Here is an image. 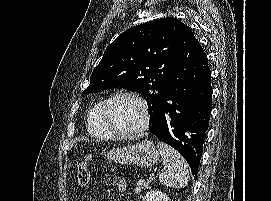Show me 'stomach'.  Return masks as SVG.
<instances>
[{
	"label": "stomach",
	"mask_w": 271,
	"mask_h": 201,
	"mask_svg": "<svg viewBox=\"0 0 271 201\" xmlns=\"http://www.w3.org/2000/svg\"><path fill=\"white\" fill-rule=\"evenodd\" d=\"M103 155L111 162L149 167L159 160V152L152 141L143 140L134 145L112 148Z\"/></svg>",
	"instance_id": "0dacf381"
}]
</instances>
